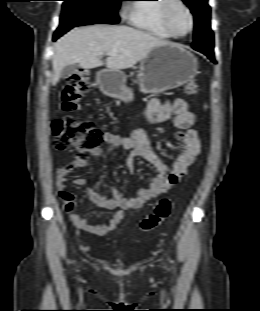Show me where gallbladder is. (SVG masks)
<instances>
[{
    "instance_id": "obj_1",
    "label": "gallbladder",
    "mask_w": 260,
    "mask_h": 311,
    "mask_svg": "<svg viewBox=\"0 0 260 311\" xmlns=\"http://www.w3.org/2000/svg\"><path fill=\"white\" fill-rule=\"evenodd\" d=\"M78 69V64L68 65L62 69L60 76L64 79L69 78L72 75L76 74L78 72Z\"/></svg>"
}]
</instances>
